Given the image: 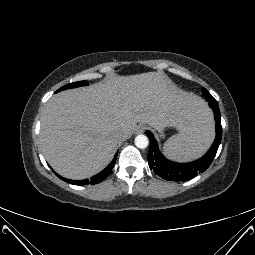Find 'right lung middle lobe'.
Wrapping results in <instances>:
<instances>
[{"label":"right lung middle lobe","instance_id":"dd1d6c3e","mask_svg":"<svg viewBox=\"0 0 255 255\" xmlns=\"http://www.w3.org/2000/svg\"><path fill=\"white\" fill-rule=\"evenodd\" d=\"M86 85H89L87 81L74 82L61 87L59 90H57V92L65 90V89H69V88H75V87L86 86Z\"/></svg>","mask_w":255,"mask_h":255}]
</instances>
